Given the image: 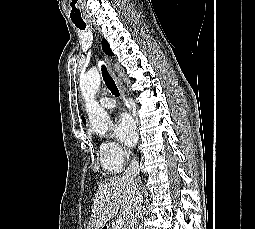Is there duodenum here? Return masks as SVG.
<instances>
[{
  "instance_id": "410a0bca",
  "label": "duodenum",
  "mask_w": 255,
  "mask_h": 229,
  "mask_svg": "<svg viewBox=\"0 0 255 229\" xmlns=\"http://www.w3.org/2000/svg\"><path fill=\"white\" fill-rule=\"evenodd\" d=\"M102 229H107V226H103Z\"/></svg>"
}]
</instances>
